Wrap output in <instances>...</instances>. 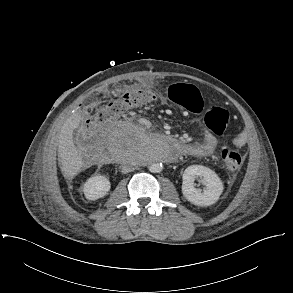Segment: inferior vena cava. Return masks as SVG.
<instances>
[{"label":"inferior vena cava","instance_id":"1","mask_svg":"<svg viewBox=\"0 0 293 293\" xmlns=\"http://www.w3.org/2000/svg\"><path fill=\"white\" fill-rule=\"evenodd\" d=\"M133 169L134 168L131 164H126L122 166L121 171L122 173H128V172H131Z\"/></svg>","mask_w":293,"mask_h":293}]
</instances>
